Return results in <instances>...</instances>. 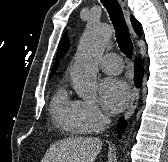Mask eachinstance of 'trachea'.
I'll return each mask as SVG.
<instances>
[{
    "label": "trachea",
    "mask_w": 168,
    "mask_h": 162,
    "mask_svg": "<svg viewBox=\"0 0 168 162\" xmlns=\"http://www.w3.org/2000/svg\"><path fill=\"white\" fill-rule=\"evenodd\" d=\"M109 13L112 24L116 31V38L121 52L131 58L133 44L130 39L129 30L125 22L122 8L117 0H100Z\"/></svg>",
    "instance_id": "3493384b"
}]
</instances>
